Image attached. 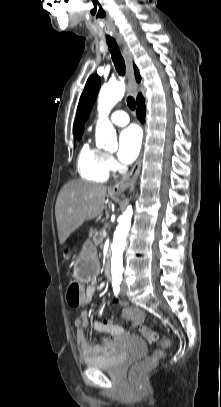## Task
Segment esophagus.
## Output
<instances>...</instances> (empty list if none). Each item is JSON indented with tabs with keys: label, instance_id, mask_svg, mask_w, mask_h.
<instances>
[{
	"label": "esophagus",
	"instance_id": "34e87169",
	"mask_svg": "<svg viewBox=\"0 0 221 407\" xmlns=\"http://www.w3.org/2000/svg\"><path fill=\"white\" fill-rule=\"evenodd\" d=\"M115 38L120 47L122 56L126 64V74L130 91L132 95L136 96L138 93V83L134 75L131 52L124 38L121 35H116ZM141 158L142 153L140 154L139 158L137 159L136 163L133 165L131 170L113 185L112 191L114 193L121 194L124 191H126L130 186H133L136 183L141 169Z\"/></svg>",
	"mask_w": 221,
	"mask_h": 407
}]
</instances>
